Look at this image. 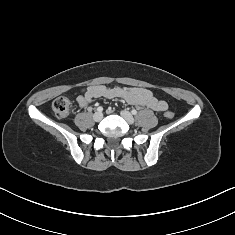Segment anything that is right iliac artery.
I'll list each match as a JSON object with an SVG mask.
<instances>
[{"label": "right iliac artery", "instance_id": "1", "mask_svg": "<svg viewBox=\"0 0 235 235\" xmlns=\"http://www.w3.org/2000/svg\"><path fill=\"white\" fill-rule=\"evenodd\" d=\"M103 108L100 106L97 108V111L102 112Z\"/></svg>", "mask_w": 235, "mask_h": 235}]
</instances>
